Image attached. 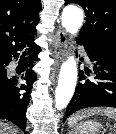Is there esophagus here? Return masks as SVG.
Segmentation results:
<instances>
[{
  "instance_id": "obj_1",
  "label": "esophagus",
  "mask_w": 116,
  "mask_h": 134,
  "mask_svg": "<svg viewBox=\"0 0 116 134\" xmlns=\"http://www.w3.org/2000/svg\"><path fill=\"white\" fill-rule=\"evenodd\" d=\"M67 35L66 32L59 28L56 33V39L53 44V57L58 65L66 56Z\"/></svg>"
}]
</instances>
